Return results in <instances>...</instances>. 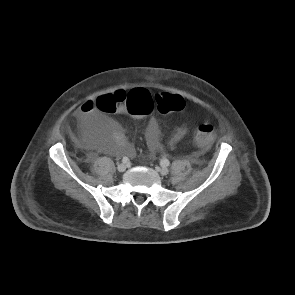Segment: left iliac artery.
Masks as SVG:
<instances>
[{
  "label": "left iliac artery",
  "mask_w": 295,
  "mask_h": 295,
  "mask_svg": "<svg viewBox=\"0 0 295 295\" xmlns=\"http://www.w3.org/2000/svg\"><path fill=\"white\" fill-rule=\"evenodd\" d=\"M161 165L162 166H169L170 165V162L168 159L164 158L161 160Z\"/></svg>",
  "instance_id": "obj_1"
}]
</instances>
